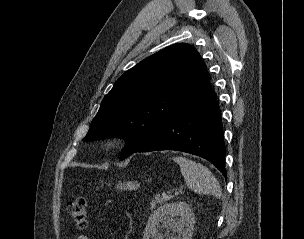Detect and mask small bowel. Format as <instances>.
Masks as SVG:
<instances>
[{"label": "small bowel", "mask_w": 304, "mask_h": 239, "mask_svg": "<svg viewBox=\"0 0 304 239\" xmlns=\"http://www.w3.org/2000/svg\"><path fill=\"white\" fill-rule=\"evenodd\" d=\"M76 239H89L86 235H79Z\"/></svg>", "instance_id": "c3829d8e"}]
</instances>
